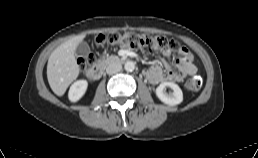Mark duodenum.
Listing matches in <instances>:
<instances>
[{
    "label": "duodenum",
    "instance_id": "duodenum-1",
    "mask_svg": "<svg viewBox=\"0 0 258 158\" xmlns=\"http://www.w3.org/2000/svg\"><path fill=\"white\" fill-rule=\"evenodd\" d=\"M126 61H127V59L123 56L108 58L106 61L98 63V64L92 66L91 68H89L87 71V75L89 78H91L93 80L98 79L102 75V73L105 69V66L107 64H116V63H121V62H126Z\"/></svg>",
    "mask_w": 258,
    "mask_h": 158
}]
</instances>
